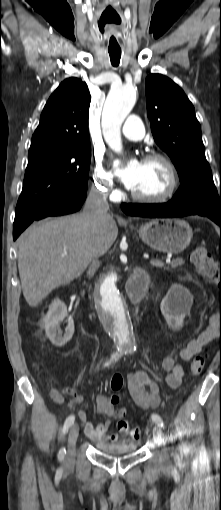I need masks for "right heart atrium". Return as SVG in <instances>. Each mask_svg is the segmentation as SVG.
Instances as JSON below:
<instances>
[{"instance_id":"1","label":"right heart atrium","mask_w":221,"mask_h":510,"mask_svg":"<svg viewBox=\"0 0 221 510\" xmlns=\"http://www.w3.org/2000/svg\"><path fill=\"white\" fill-rule=\"evenodd\" d=\"M92 184L101 195L113 197L116 194L113 174L106 168L101 158H96L93 167Z\"/></svg>"}]
</instances>
